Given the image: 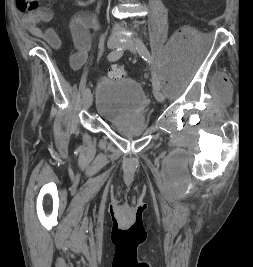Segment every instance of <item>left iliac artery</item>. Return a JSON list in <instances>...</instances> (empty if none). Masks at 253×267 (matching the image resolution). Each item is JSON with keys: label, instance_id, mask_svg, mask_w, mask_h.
Instances as JSON below:
<instances>
[{"label": "left iliac artery", "instance_id": "1", "mask_svg": "<svg viewBox=\"0 0 253 267\" xmlns=\"http://www.w3.org/2000/svg\"><path fill=\"white\" fill-rule=\"evenodd\" d=\"M136 49L138 51V53L141 55V57L148 62L149 64H153V57L151 58L150 55L147 52V47L144 44V42L140 39L137 38L136 39ZM152 85H153V89H159L161 88L160 82L158 80V78L153 74L152 76Z\"/></svg>", "mask_w": 253, "mask_h": 267}]
</instances>
